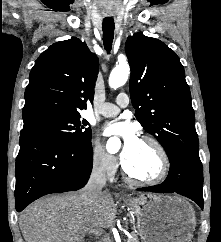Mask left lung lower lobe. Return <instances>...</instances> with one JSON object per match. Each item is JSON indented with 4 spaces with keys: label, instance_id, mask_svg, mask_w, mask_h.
<instances>
[{
    "label": "left lung lower lobe",
    "instance_id": "0a47b994",
    "mask_svg": "<svg viewBox=\"0 0 221 242\" xmlns=\"http://www.w3.org/2000/svg\"><path fill=\"white\" fill-rule=\"evenodd\" d=\"M137 190L156 193L176 192L192 199L203 209V168L199 151H180L170 161L169 174L162 184Z\"/></svg>",
    "mask_w": 221,
    "mask_h": 242
}]
</instances>
